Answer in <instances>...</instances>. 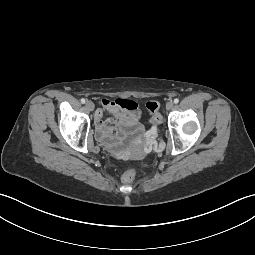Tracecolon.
Wrapping results in <instances>:
<instances>
[{"mask_svg": "<svg viewBox=\"0 0 255 255\" xmlns=\"http://www.w3.org/2000/svg\"><path fill=\"white\" fill-rule=\"evenodd\" d=\"M146 108L148 112L150 113V122L153 126H157L162 121V116L159 112V103L156 101H149L146 104ZM136 176V170L134 168L127 169L122 177L121 181L124 184H130L133 182L134 178Z\"/></svg>", "mask_w": 255, "mask_h": 255, "instance_id": "1", "label": "colon"}]
</instances>
